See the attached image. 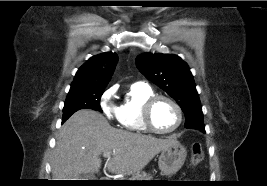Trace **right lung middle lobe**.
<instances>
[{"mask_svg":"<svg viewBox=\"0 0 267 186\" xmlns=\"http://www.w3.org/2000/svg\"><path fill=\"white\" fill-rule=\"evenodd\" d=\"M104 89H86L69 91L63 108V122L80 109H92L102 112L100 98Z\"/></svg>","mask_w":267,"mask_h":186,"instance_id":"obj_1","label":"right lung middle lobe"}]
</instances>
